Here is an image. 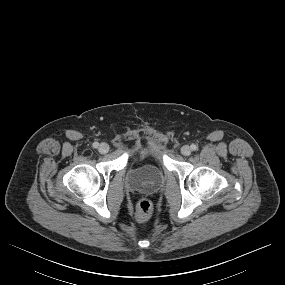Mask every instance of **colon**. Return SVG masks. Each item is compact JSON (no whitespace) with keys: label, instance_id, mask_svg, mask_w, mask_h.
Here are the masks:
<instances>
[{"label":"colon","instance_id":"obj_1","mask_svg":"<svg viewBox=\"0 0 285 285\" xmlns=\"http://www.w3.org/2000/svg\"><path fill=\"white\" fill-rule=\"evenodd\" d=\"M152 214V204L148 199H140L137 203V217L140 220L148 219Z\"/></svg>","mask_w":285,"mask_h":285}]
</instances>
